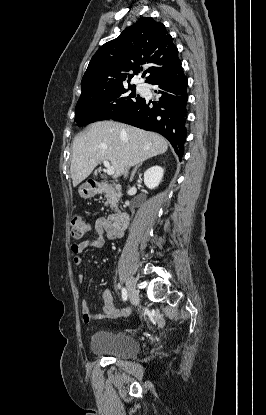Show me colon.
Instances as JSON below:
<instances>
[{"mask_svg": "<svg viewBox=\"0 0 266 415\" xmlns=\"http://www.w3.org/2000/svg\"><path fill=\"white\" fill-rule=\"evenodd\" d=\"M90 231V223L83 216H75L71 222V237L75 240L81 239Z\"/></svg>", "mask_w": 266, "mask_h": 415, "instance_id": "colon-1", "label": "colon"}]
</instances>
